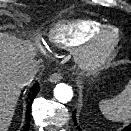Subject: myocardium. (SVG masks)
<instances>
[{
    "mask_svg": "<svg viewBox=\"0 0 131 131\" xmlns=\"http://www.w3.org/2000/svg\"><path fill=\"white\" fill-rule=\"evenodd\" d=\"M111 35L110 41L106 38ZM121 42V32L113 25H104L92 33L75 51L78 64L84 69L105 65L116 53Z\"/></svg>",
    "mask_w": 131,
    "mask_h": 131,
    "instance_id": "obj_1",
    "label": "myocardium"
}]
</instances>
